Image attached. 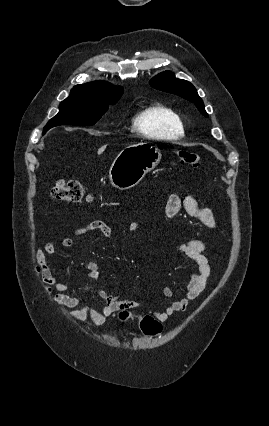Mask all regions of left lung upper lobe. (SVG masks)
I'll return each mask as SVG.
<instances>
[{
    "label": "left lung upper lobe",
    "mask_w": 269,
    "mask_h": 426,
    "mask_svg": "<svg viewBox=\"0 0 269 426\" xmlns=\"http://www.w3.org/2000/svg\"><path fill=\"white\" fill-rule=\"evenodd\" d=\"M150 84L155 89L173 93L187 99L196 105L202 115L208 117L202 99L199 97L197 90L190 82L177 79L172 72L166 71L153 78L150 81Z\"/></svg>",
    "instance_id": "1"
}]
</instances>
